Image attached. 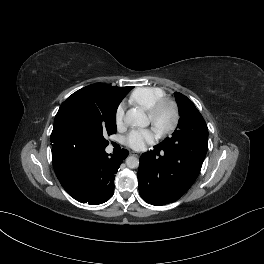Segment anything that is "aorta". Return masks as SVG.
Returning a JSON list of instances; mask_svg holds the SVG:
<instances>
[{
  "label": "aorta",
  "mask_w": 264,
  "mask_h": 264,
  "mask_svg": "<svg viewBox=\"0 0 264 264\" xmlns=\"http://www.w3.org/2000/svg\"><path fill=\"white\" fill-rule=\"evenodd\" d=\"M125 123L135 127H146L149 124L146 114L137 109H130L125 116ZM126 165L128 168L134 169L139 166V160L135 156H129L126 159Z\"/></svg>",
  "instance_id": "1"
}]
</instances>
